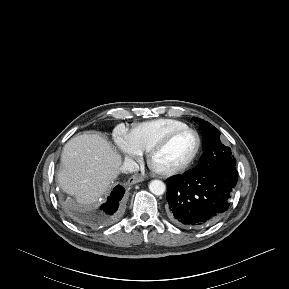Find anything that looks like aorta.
Wrapping results in <instances>:
<instances>
[{
    "label": "aorta",
    "instance_id": "aorta-1",
    "mask_svg": "<svg viewBox=\"0 0 289 289\" xmlns=\"http://www.w3.org/2000/svg\"><path fill=\"white\" fill-rule=\"evenodd\" d=\"M149 190L154 195L159 196V195L164 194V192L166 190V186H165L164 182L161 180H152L149 183Z\"/></svg>",
    "mask_w": 289,
    "mask_h": 289
}]
</instances>
